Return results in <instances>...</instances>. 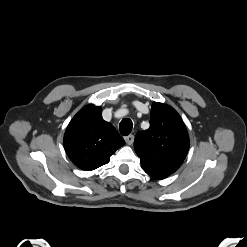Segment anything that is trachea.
Here are the masks:
<instances>
[{
  "label": "trachea",
  "mask_w": 247,
  "mask_h": 247,
  "mask_svg": "<svg viewBox=\"0 0 247 247\" xmlns=\"http://www.w3.org/2000/svg\"><path fill=\"white\" fill-rule=\"evenodd\" d=\"M132 128H133V123L130 119L125 118L120 122L119 129H120V133L123 136L129 135L130 132L132 131Z\"/></svg>",
  "instance_id": "1"
}]
</instances>
